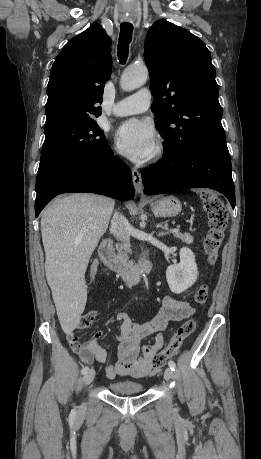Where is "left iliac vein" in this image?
I'll list each match as a JSON object with an SVG mask.
<instances>
[{"instance_id":"left-iliac-vein-1","label":"left iliac vein","mask_w":261,"mask_h":459,"mask_svg":"<svg viewBox=\"0 0 261 459\" xmlns=\"http://www.w3.org/2000/svg\"><path fill=\"white\" fill-rule=\"evenodd\" d=\"M164 378L166 381H170L173 378V372L170 368L165 369Z\"/></svg>"}]
</instances>
